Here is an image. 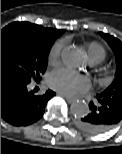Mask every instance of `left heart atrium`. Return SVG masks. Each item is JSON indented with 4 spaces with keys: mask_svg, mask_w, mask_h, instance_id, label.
<instances>
[{
    "mask_svg": "<svg viewBox=\"0 0 122 154\" xmlns=\"http://www.w3.org/2000/svg\"><path fill=\"white\" fill-rule=\"evenodd\" d=\"M48 84L55 91L68 96L86 92L91 86L87 77L68 69L53 71L49 76Z\"/></svg>",
    "mask_w": 122,
    "mask_h": 154,
    "instance_id": "1",
    "label": "left heart atrium"
}]
</instances>
